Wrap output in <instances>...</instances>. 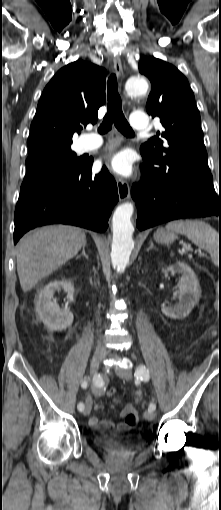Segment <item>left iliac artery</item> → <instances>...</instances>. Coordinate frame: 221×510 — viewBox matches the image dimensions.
I'll return each instance as SVG.
<instances>
[{"instance_id": "1", "label": "left iliac artery", "mask_w": 221, "mask_h": 510, "mask_svg": "<svg viewBox=\"0 0 221 510\" xmlns=\"http://www.w3.org/2000/svg\"><path fill=\"white\" fill-rule=\"evenodd\" d=\"M134 376L136 378V382H140V380L144 381V382H147V381H149V378H150L149 370L145 367V365L141 364L136 369V371L134 373ZM148 409L150 411H155L156 410V404L153 403V402L150 403Z\"/></svg>"}]
</instances>
